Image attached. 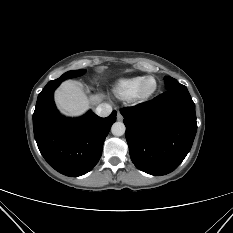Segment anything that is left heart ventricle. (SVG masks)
I'll return each mask as SVG.
<instances>
[{
	"instance_id": "left-heart-ventricle-1",
	"label": "left heart ventricle",
	"mask_w": 233,
	"mask_h": 233,
	"mask_svg": "<svg viewBox=\"0 0 233 233\" xmlns=\"http://www.w3.org/2000/svg\"><path fill=\"white\" fill-rule=\"evenodd\" d=\"M154 87V82L152 80L148 81L145 85V91L148 92Z\"/></svg>"
}]
</instances>
